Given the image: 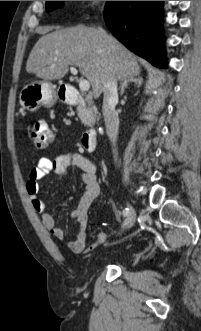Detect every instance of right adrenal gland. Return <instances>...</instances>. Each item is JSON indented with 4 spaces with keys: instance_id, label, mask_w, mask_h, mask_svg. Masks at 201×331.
<instances>
[{
    "instance_id": "2a0ac1e0",
    "label": "right adrenal gland",
    "mask_w": 201,
    "mask_h": 331,
    "mask_svg": "<svg viewBox=\"0 0 201 331\" xmlns=\"http://www.w3.org/2000/svg\"><path fill=\"white\" fill-rule=\"evenodd\" d=\"M142 78L141 77H136V78H127L124 79V81L121 84V91H120V95H123L125 92V89L128 87L129 84L134 83L135 85H138V87H140L142 85Z\"/></svg>"
}]
</instances>
